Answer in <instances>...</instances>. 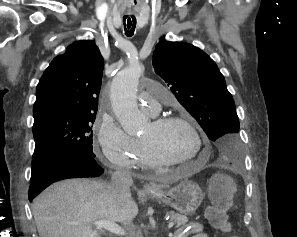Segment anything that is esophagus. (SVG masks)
<instances>
[{
    "instance_id": "1",
    "label": "esophagus",
    "mask_w": 297,
    "mask_h": 237,
    "mask_svg": "<svg viewBox=\"0 0 297 237\" xmlns=\"http://www.w3.org/2000/svg\"><path fill=\"white\" fill-rule=\"evenodd\" d=\"M143 189H144L145 191L154 190V189H155V186H154L153 184H150V183H145V184L143 185Z\"/></svg>"
}]
</instances>
